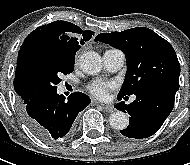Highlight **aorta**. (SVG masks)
<instances>
[{
	"label": "aorta",
	"instance_id": "aorta-1",
	"mask_svg": "<svg viewBox=\"0 0 190 165\" xmlns=\"http://www.w3.org/2000/svg\"><path fill=\"white\" fill-rule=\"evenodd\" d=\"M81 69L90 75L99 73L102 69L101 56L94 51L84 52L79 58ZM110 126L116 130H123L129 124L127 115L121 111L112 113L109 117Z\"/></svg>",
	"mask_w": 190,
	"mask_h": 165
}]
</instances>
